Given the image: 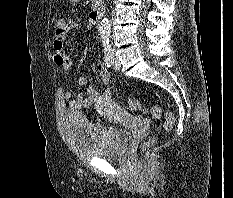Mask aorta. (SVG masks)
<instances>
[{
    "instance_id": "762f6f07",
    "label": "aorta",
    "mask_w": 233,
    "mask_h": 198,
    "mask_svg": "<svg viewBox=\"0 0 233 198\" xmlns=\"http://www.w3.org/2000/svg\"><path fill=\"white\" fill-rule=\"evenodd\" d=\"M101 40L103 42H108L111 36L110 31V21L108 18L104 17L98 27Z\"/></svg>"
}]
</instances>
